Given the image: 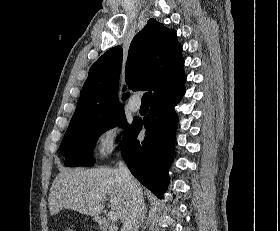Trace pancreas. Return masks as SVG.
<instances>
[{
	"label": "pancreas",
	"instance_id": "pancreas-1",
	"mask_svg": "<svg viewBox=\"0 0 280 231\" xmlns=\"http://www.w3.org/2000/svg\"><path fill=\"white\" fill-rule=\"evenodd\" d=\"M109 229V225H106L105 229H103V231H108Z\"/></svg>",
	"mask_w": 280,
	"mask_h": 231
}]
</instances>
